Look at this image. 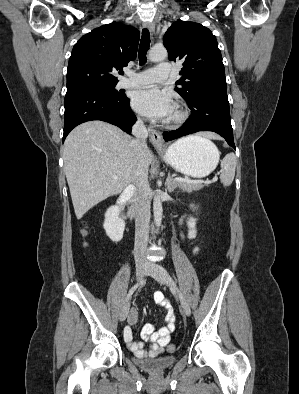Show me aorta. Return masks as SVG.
<instances>
[{"mask_svg":"<svg viewBox=\"0 0 299 394\" xmlns=\"http://www.w3.org/2000/svg\"><path fill=\"white\" fill-rule=\"evenodd\" d=\"M167 58V50L164 47H153L149 52V59L153 62L163 61ZM154 222L157 227H160L162 221V203L160 196L157 193L153 200Z\"/></svg>","mask_w":299,"mask_h":394,"instance_id":"aorta-1","label":"aorta"}]
</instances>
